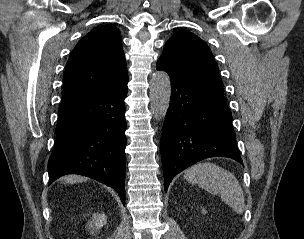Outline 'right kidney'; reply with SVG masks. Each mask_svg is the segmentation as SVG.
<instances>
[{
  "label": "right kidney",
  "mask_w": 304,
  "mask_h": 239,
  "mask_svg": "<svg viewBox=\"0 0 304 239\" xmlns=\"http://www.w3.org/2000/svg\"><path fill=\"white\" fill-rule=\"evenodd\" d=\"M106 224V217L102 214H97L93 217V220L88 223L87 228L92 234L98 231Z\"/></svg>",
  "instance_id": "1"
}]
</instances>
